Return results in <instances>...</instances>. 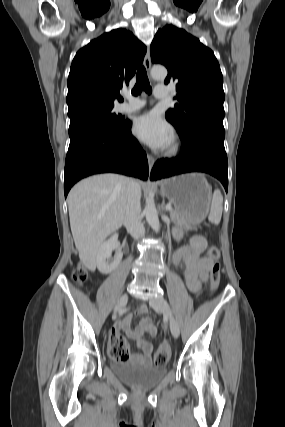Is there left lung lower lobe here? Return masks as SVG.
<instances>
[{
    "label": "left lung lower lobe",
    "mask_w": 285,
    "mask_h": 427,
    "mask_svg": "<svg viewBox=\"0 0 285 427\" xmlns=\"http://www.w3.org/2000/svg\"><path fill=\"white\" fill-rule=\"evenodd\" d=\"M223 126L200 123L188 134L180 135V156L160 159L154 165L151 179L157 180L188 172H205L218 178L228 189V161L224 148Z\"/></svg>",
    "instance_id": "1"
}]
</instances>
